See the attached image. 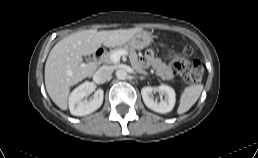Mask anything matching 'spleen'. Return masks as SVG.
<instances>
[{
    "mask_svg": "<svg viewBox=\"0 0 258 158\" xmlns=\"http://www.w3.org/2000/svg\"><path fill=\"white\" fill-rule=\"evenodd\" d=\"M203 90V85H192L186 87L181 94L180 104L177 109L178 114L187 112L198 100Z\"/></svg>",
    "mask_w": 258,
    "mask_h": 158,
    "instance_id": "3e777b00",
    "label": "spleen"
}]
</instances>
